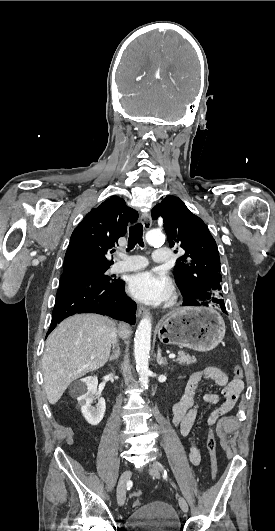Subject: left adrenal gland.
<instances>
[{"label":"left adrenal gland","instance_id":"1","mask_svg":"<svg viewBox=\"0 0 275 531\" xmlns=\"http://www.w3.org/2000/svg\"><path fill=\"white\" fill-rule=\"evenodd\" d=\"M156 361H157L158 365H168L166 357H161V349H160V347H158Z\"/></svg>","mask_w":275,"mask_h":531}]
</instances>
